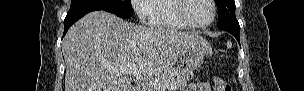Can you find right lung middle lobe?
I'll list each match as a JSON object with an SVG mask.
<instances>
[{"label":"right lung middle lobe","instance_id":"obj_1","mask_svg":"<svg viewBox=\"0 0 304 91\" xmlns=\"http://www.w3.org/2000/svg\"><path fill=\"white\" fill-rule=\"evenodd\" d=\"M84 2L108 7L113 14L121 18H129L133 15V8L130 0H72L71 5Z\"/></svg>","mask_w":304,"mask_h":91}]
</instances>
